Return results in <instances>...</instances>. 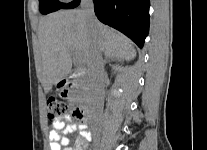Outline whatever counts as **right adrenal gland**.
<instances>
[{
  "mask_svg": "<svg viewBox=\"0 0 207 150\" xmlns=\"http://www.w3.org/2000/svg\"><path fill=\"white\" fill-rule=\"evenodd\" d=\"M112 60H113V58H111V57H106L104 63L110 62V61H112Z\"/></svg>",
  "mask_w": 207,
  "mask_h": 150,
  "instance_id": "right-adrenal-gland-1",
  "label": "right adrenal gland"
}]
</instances>
